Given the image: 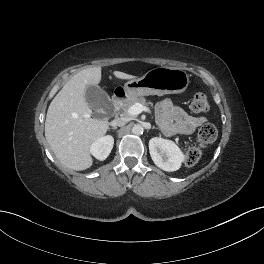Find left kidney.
Returning a JSON list of instances; mask_svg holds the SVG:
<instances>
[{"label":"left kidney","mask_w":264,"mask_h":264,"mask_svg":"<svg viewBox=\"0 0 264 264\" xmlns=\"http://www.w3.org/2000/svg\"><path fill=\"white\" fill-rule=\"evenodd\" d=\"M149 152L154 164L164 171H176L181 167L185 156L171 140L154 137L149 141Z\"/></svg>","instance_id":"left-kidney-1"}]
</instances>
